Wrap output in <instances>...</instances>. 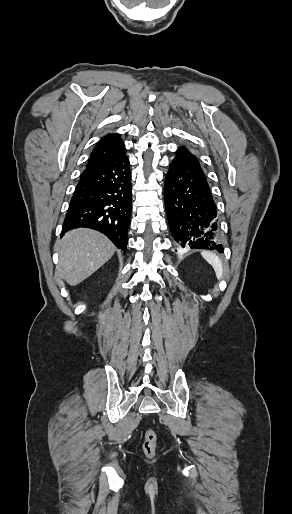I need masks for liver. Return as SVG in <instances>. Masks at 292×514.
Listing matches in <instances>:
<instances>
[{"instance_id":"obj_1","label":"liver","mask_w":292,"mask_h":514,"mask_svg":"<svg viewBox=\"0 0 292 514\" xmlns=\"http://www.w3.org/2000/svg\"><path fill=\"white\" fill-rule=\"evenodd\" d=\"M57 272L69 286H77L112 258L115 246L100 232L78 228L58 244Z\"/></svg>"}]
</instances>
